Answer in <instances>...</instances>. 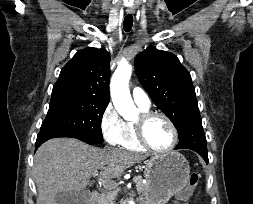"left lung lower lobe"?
Returning <instances> with one entry per match:
<instances>
[{
	"label": "left lung lower lobe",
	"instance_id": "1",
	"mask_svg": "<svg viewBox=\"0 0 253 204\" xmlns=\"http://www.w3.org/2000/svg\"><path fill=\"white\" fill-rule=\"evenodd\" d=\"M175 149H191L197 152L208 163L207 141L202 127L201 118L190 122L179 136V143Z\"/></svg>",
	"mask_w": 253,
	"mask_h": 204
}]
</instances>
